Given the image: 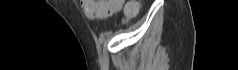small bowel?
<instances>
[{
    "label": "small bowel",
    "instance_id": "small-bowel-1",
    "mask_svg": "<svg viewBox=\"0 0 238 70\" xmlns=\"http://www.w3.org/2000/svg\"><path fill=\"white\" fill-rule=\"evenodd\" d=\"M82 5V7H84V5L83 4H81ZM120 9H121V7H120ZM114 13V12H113Z\"/></svg>",
    "mask_w": 238,
    "mask_h": 70
}]
</instances>
